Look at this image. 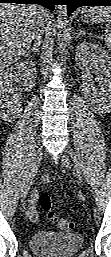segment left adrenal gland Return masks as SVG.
Segmentation results:
<instances>
[{
	"label": "left adrenal gland",
	"mask_w": 111,
	"mask_h": 257,
	"mask_svg": "<svg viewBox=\"0 0 111 257\" xmlns=\"http://www.w3.org/2000/svg\"><path fill=\"white\" fill-rule=\"evenodd\" d=\"M89 33L86 31H83V29H80V32L78 33L77 37H79L80 35H88Z\"/></svg>",
	"instance_id": "a2214340"
}]
</instances>
